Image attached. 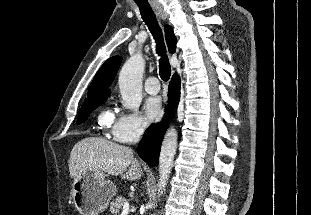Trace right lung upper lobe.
I'll return each mask as SVG.
<instances>
[{
    "instance_id": "right-lung-upper-lobe-1",
    "label": "right lung upper lobe",
    "mask_w": 311,
    "mask_h": 215,
    "mask_svg": "<svg viewBox=\"0 0 311 215\" xmlns=\"http://www.w3.org/2000/svg\"><path fill=\"white\" fill-rule=\"evenodd\" d=\"M166 42L170 53H174L176 50V36L170 26H165ZM122 58L114 56L109 58L96 73L87 94V99H93L97 97L109 96L110 90L108 87L113 81L117 70L120 66Z\"/></svg>"
}]
</instances>
